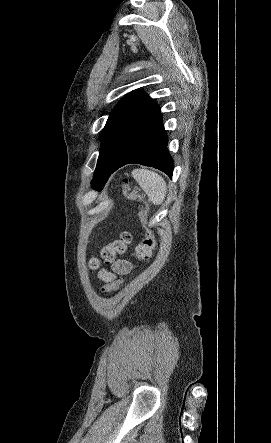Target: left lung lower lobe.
<instances>
[{
	"label": "left lung lower lobe",
	"instance_id": "left-lung-lower-lobe-1",
	"mask_svg": "<svg viewBox=\"0 0 271 443\" xmlns=\"http://www.w3.org/2000/svg\"><path fill=\"white\" fill-rule=\"evenodd\" d=\"M130 163L152 166L169 177L173 174L174 162L168 153L160 108L149 97L125 130L110 175Z\"/></svg>",
	"mask_w": 271,
	"mask_h": 443
}]
</instances>
